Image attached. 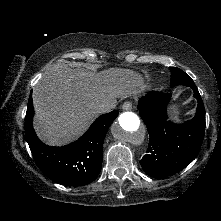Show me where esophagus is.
<instances>
[{
	"label": "esophagus",
	"instance_id": "esophagus-1",
	"mask_svg": "<svg viewBox=\"0 0 221 221\" xmlns=\"http://www.w3.org/2000/svg\"><path fill=\"white\" fill-rule=\"evenodd\" d=\"M122 109L123 110H131L132 109V102H124L123 105H122Z\"/></svg>",
	"mask_w": 221,
	"mask_h": 221
}]
</instances>
